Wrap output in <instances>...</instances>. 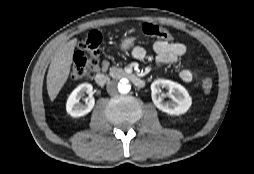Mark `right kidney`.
Instances as JSON below:
<instances>
[{
  "label": "right kidney",
  "instance_id": "1",
  "mask_svg": "<svg viewBox=\"0 0 254 174\" xmlns=\"http://www.w3.org/2000/svg\"><path fill=\"white\" fill-rule=\"evenodd\" d=\"M93 86L89 83L80 84L68 97L66 111L72 117H81L88 114L94 107L95 100L92 97ZM89 94L85 104L80 103L81 96Z\"/></svg>",
  "mask_w": 254,
  "mask_h": 174
}]
</instances>
